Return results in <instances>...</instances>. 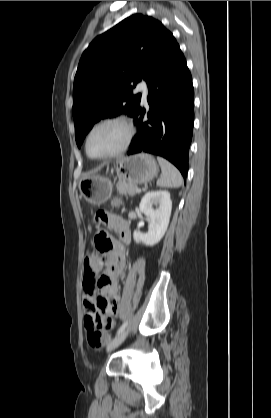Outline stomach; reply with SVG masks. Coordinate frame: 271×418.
I'll use <instances>...</instances> for the list:
<instances>
[{
  "label": "stomach",
  "mask_w": 271,
  "mask_h": 418,
  "mask_svg": "<svg viewBox=\"0 0 271 418\" xmlns=\"http://www.w3.org/2000/svg\"><path fill=\"white\" fill-rule=\"evenodd\" d=\"M115 170L121 181L146 184L157 175L158 166L151 155L142 153L116 161ZM79 189L88 203L101 205L110 197L112 183L104 175L92 174L81 179Z\"/></svg>",
  "instance_id": "1"
}]
</instances>
